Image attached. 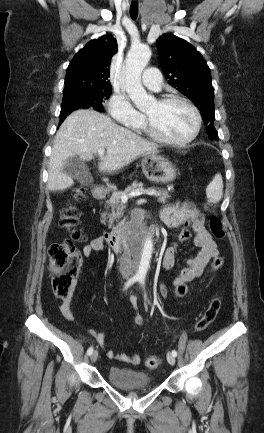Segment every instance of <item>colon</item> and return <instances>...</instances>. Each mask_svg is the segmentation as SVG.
Listing matches in <instances>:
<instances>
[{
    "label": "colon",
    "mask_w": 264,
    "mask_h": 433,
    "mask_svg": "<svg viewBox=\"0 0 264 433\" xmlns=\"http://www.w3.org/2000/svg\"><path fill=\"white\" fill-rule=\"evenodd\" d=\"M87 191L84 187H76L73 196L76 200L86 198ZM206 209L213 212L211 204H206ZM79 212L73 205H67L62 212L60 226L70 234V238L59 243H54L49 248V262L52 272V287L54 294L61 298L70 295V288L79 274L81 256L75 247V242L84 240V235L78 229ZM209 229L216 239H222L225 231L221 219L216 215H211L208 221ZM223 265V258L215 255L210 263L212 271L219 270ZM189 291L188 285L180 283L174 286L172 295L175 299L183 298ZM221 307V300L213 298L203 315L197 320L195 330L201 332L205 330L215 319ZM148 368L155 369L161 364L160 358L149 356L145 360Z\"/></svg>",
    "instance_id": "colon-1"
}]
</instances>
